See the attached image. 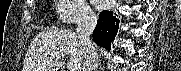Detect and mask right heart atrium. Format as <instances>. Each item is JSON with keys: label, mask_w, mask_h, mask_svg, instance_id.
<instances>
[{"label": "right heart atrium", "mask_w": 181, "mask_h": 71, "mask_svg": "<svg viewBox=\"0 0 181 71\" xmlns=\"http://www.w3.org/2000/svg\"><path fill=\"white\" fill-rule=\"evenodd\" d=\"M59 14L66 23H84L93 18V13L84 0H61Z\"/></svg>", "instance_id": "1"}]
</instances>
